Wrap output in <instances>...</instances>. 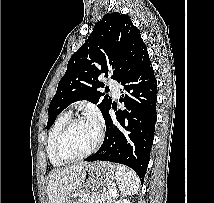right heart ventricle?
<instances>
[{"label": "right heart ventricle", "mask_w": 214, "mask_h": 203, "mask_svg": "<svg viewBox=\"0 0 214 203\" xmlns=\"http://www.w3.org/2000/svg\"><path fill=\"white\" fill-rule=\"evenodd\" d=\"M72 112L71 110H67L63 113H61L55 120L54 124L52 125L48 138H47V145H46V150H47V156L51 162L52 165L56 167H60L64 165L65 163L62 162L55 154L54 151V144H55V139L56 136L59 132V130L63 127V125L71 119Z\"/></svg>", "instance_id": "e07e8e85"}]
</instances>
